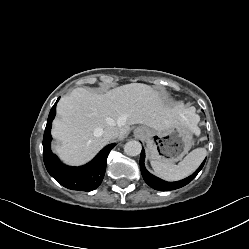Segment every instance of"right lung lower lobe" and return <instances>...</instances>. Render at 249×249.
<instances>
[{"instance_id":"right-lung-lower-lobe-1","label":"right lung lower lobe","mask_w":249,"mask_h":249,"mask_svg":"<svg viewBox=\"0 0 249 249\" xmlns=\"http://www.w3.org/2000/svg\"><path fill=\"white\" fill-rule=\"evenodd\" d=\"M57 101L49 113L43 138V159L46 169L58 183L68 189L92 191L101 184L108 154L116 144L104 147L91 162L84 166L70 167L62 164L50 149L52 120L56 114Z\"/></svg>"}]
</instances>
